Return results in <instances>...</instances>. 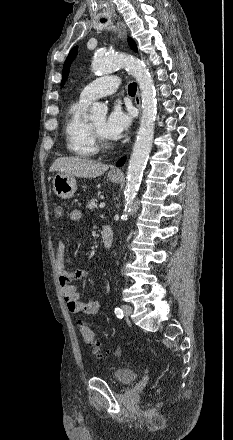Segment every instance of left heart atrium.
Here are the masks:
<instances>
[{
	"label": "left heart atrium",
	"mask_w": 233,
	"mask_h": 440,
	"mask_svg": "<svg viewBox=\"0 0 233 440\" xmlns=\"http://www.w3.org/2000/svg\"><path fill=\"white\" fill-rule=\"evenodd\" d=\"M131 124V116L121 106L115 105L105 123V132L110 139H119L127 131Z\"/></svg>",
	"instance_id": "39dd6f15"
}]
</instances>
